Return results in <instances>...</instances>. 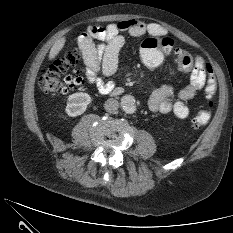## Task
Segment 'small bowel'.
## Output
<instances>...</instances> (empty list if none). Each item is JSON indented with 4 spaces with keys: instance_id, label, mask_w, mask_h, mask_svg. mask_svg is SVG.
Segmentation results:
<instances>
[{
    "instance_id": "1",
    "label": "small bowel",
    "mask_w": 233,
    "mask_h": 233,
    "mask_svg": "<svg viewBox=\"0 0 233 233\" xmlns=\"http://www.w3.org/2000/svg\"><path fill=\"white\" fill-rule=\"evenodd\" d=\"M149 33L159 35L162 28L156 23L146 24L136 19L110 23L105 27L90 25L87 31L78 38V45L86 65L87 81L100 93L107 94L113 91L115 85L105 77L112 76L118 67L120 50L125 43V36L140 37ZM94 40H97L96 44ZM207 63L200 56L195 57L189 82L178 88L172 84H165L155 89L148 101L152 112L163 114L173 113L180 119L190 114L186 104L198 90L207 85Z\"/></svg>"
}]
</instances>
